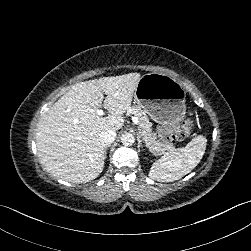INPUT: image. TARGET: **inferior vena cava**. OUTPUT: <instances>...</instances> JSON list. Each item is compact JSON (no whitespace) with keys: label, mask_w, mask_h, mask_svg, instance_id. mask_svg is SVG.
I'll return each mask as SVG.
<instances>
[{"label":"inferior vena cava","mask_w":251,"mask_h":251,"mask_svg":"<svg viewBox=\"0 0 251 251\" xmlns=\"http://www.w3.org/2000/svg\"><path fill=\"white\" fill-rule=\"evenodd\" d=\"M116 137V132L112 129L103 130L99 135L100 143L103 147L110 146Z\"/></svg>","instance_id":"inferior-vena-cava-1"}]
</instances>
